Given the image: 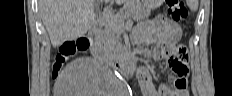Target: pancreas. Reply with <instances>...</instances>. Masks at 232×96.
I'll use <instances>...</instances> for the list:
<instances>
[{"label": "pancreas", "mask_w": 232, "mask_h": 96, "mask_svg": "<svg viewBox=\"0 0 232 96\" xmlns=\"http://www.w3.org/2000/svg\"><path fill=\"white\" fill-rule=\"evenodd\" d=\"M151 15V10L141 7L140 5H132L128 8L121 9L119 13L111 16H104L102 19L103 30L96 41L97 46L105 51H115V47L119 44V34L122 30L124 19H133L138 21Z\"/></svg>", "instance_id": "cf45deb5"}]
</instances>
